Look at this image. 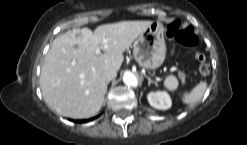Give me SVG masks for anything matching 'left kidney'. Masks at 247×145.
<instances>
[{"instance_id":"obj_1","label":"left kidney","mask_w":247,"mask_h":145,"mask_svg":"<svg viewBox=\"0 0 247 145\" xmlns=\"http://www.w3.org/2000/svg\"><path fill=\"white\" fill-rule=\"evenodd\" d=\"M147 99L152 107L160 110H167L172 105L171 98L166 92H150L147 95Z\"/></svg>"}]
</instances>
